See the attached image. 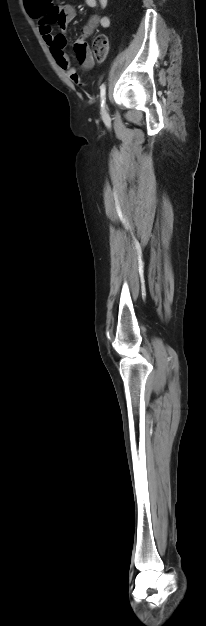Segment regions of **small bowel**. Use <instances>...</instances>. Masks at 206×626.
<instances>
[{
    "mask_svg": "<svg viewBox=\"0 0 206 626\" xmlns=\"http://www.w3.org/2000/svg\"><path fill=\"white\" fill-rule=\"evenodd\" d=\"M85 4L92 8H105L108 0H84ZM26 8L30 16L37 20L43 40L65 74L78 85L82 84V78L75 68L71 66L68 55L65 52L67 36L65 30L69 23L76 17V10L72 5L63 4L54 6L51 0H26ZM53 24H57L61 30L55 33ZM110 18L107 16L93 15L83 27L80 37L74 42L73 49L77 61L82 68L88 70L94 65V57L87 43V38L97 27L108 28Z\"/></svg>",
    "mask_w": 206,
    "mask_h": 626,
    "instance_id": "c3829d8e",
    "label": "small bowel"
}]
</instances>
